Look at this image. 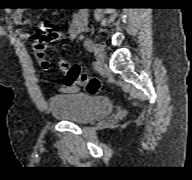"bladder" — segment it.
<instances>
[{"instance_id": "obj_1", "label": "bladder", "mask_w": 192, "mask_h": 180, "mask_svg": "<svg viewBox=\"0 0 192 180\" xmlns=\"http://www.w3.org/2000/svg\"><path fill=\"white\" fill-rule=\"evenodd\" d=\"M48 104L55 120L78 125L89 124L113 111V103L108 98L84 93L55 95Z\"/></svg>"}]
</instances>
